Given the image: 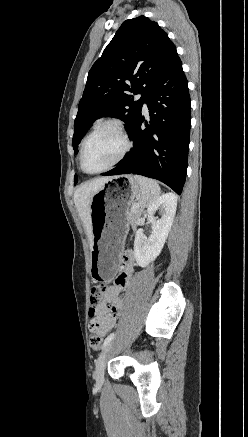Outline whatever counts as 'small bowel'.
<instances>
[{
  "instance_id": "1",
  "label": "small bowel",
  "mask_w": 248,
  "mask_h": 437,
  "mask_svg": "<svg viewBox=\"0 0 248 437\" xmlns=\"http://www.w3.org/2000/svg\"><path fill=\"white\" fill-rule=\"evenodd\" d=\"M121 260L122 272L116 278L115 283L107 288L103 301L95 310L97 320L95 332L100 336L108 334L116 325L123 310V291L130 285L133 274V252L124 251Z\"/></svg>"
}]
</instances>
